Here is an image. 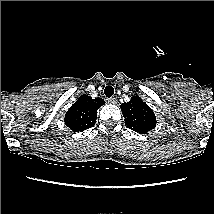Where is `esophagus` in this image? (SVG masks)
<instances>
[{
	"instance_id": "1",
	"label": "esophagus",
	"mask_w": 214,
	"mask_h": 214,
	"mask_svg": "<svg viewBox=\"0 0 214 214\" xmlns=\"http://www.w3.org/2000/svg\"><path fill=\"white\" fill-rule=\"evenodd\" d=\"M107 101H108V103H110V104H116V103H117V99L114 98V97L108 98Z\"/></svg>"
}]
</instances>
